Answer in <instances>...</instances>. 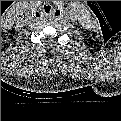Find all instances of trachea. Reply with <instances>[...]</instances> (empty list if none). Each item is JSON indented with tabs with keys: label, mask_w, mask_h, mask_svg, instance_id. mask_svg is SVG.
<instances>
[{
	"label": "trachea",
	"mask_w": 121,
	"mask_h": 121,
	"mask_svg": "<svg viewBox=\"0 0 121 121\" xmlns=\"http://www.w3.org/2000/svg\"><path fill=\"white\" fill-rule=\"evenodd\" d=\"M53 8L48 4L45 3L41 6V13L45 16H52L53 15Z\"/></svg>",
	"instance_id": "1"
}]
</instances>
